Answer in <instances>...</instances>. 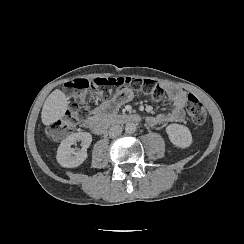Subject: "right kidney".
<instances>
[{
  "instance_id": "1",
  "label": "right kidney",
  "mask_w": 244,
  "mask_h": 244,
  "mask_svg": "<svg viewBox=\"0 0 244 244\" xmlns=\"http://www.w3.org/2000/svg\"><path fill=\"white\" fill-rule=\"evenodd\" d=\"M81 141L82 148L75 151L71 146ZM92 142V136L88 132H79L69 135L61 142L57 150V162L62 167L73 168L84 162L87 158V148Z\"/></svg>"
}]
</instances>
